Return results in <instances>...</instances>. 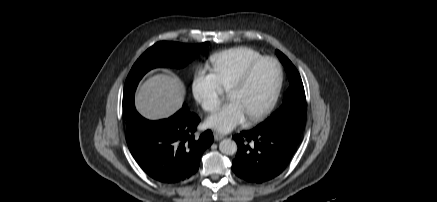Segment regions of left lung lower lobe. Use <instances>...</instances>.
<instances>
[{
  "instance_id": "1",
  "label": "left lung lower lobe",
  "mask_w": 437,
  "mask_h": 202,
  "mask_svg": "<svg viewBox=\"0 0 437 202\" xmlns=\"http://www.w3.org/2000/svg\"><path fill=\"white\" fill-rule=\"evenodd\" d=\"M301 131L286 124L256 126L235 135L238 150L233 172L248 182L262 183L284 171L300 140Z\"/></svg>"
}]
</instances>
